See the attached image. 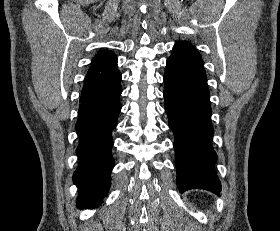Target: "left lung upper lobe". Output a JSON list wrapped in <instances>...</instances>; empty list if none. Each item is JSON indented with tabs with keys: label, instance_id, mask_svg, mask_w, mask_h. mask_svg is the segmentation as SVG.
<instances>
[{
	"label": "left lung upper lobe",
	"instance_id": "obj_1",
	"mask_svg": "<svg viewBox=\"0 0 280 231\" xmlns=\"http://www.w3.org/2000/svg\"><path fill=\"white\" fill-rule=\"evenodd\" d=\"M171 71L177 73H203V60L200 54L188 42H177L173 47V52L167 60V65Z\"/></svg>",
	"mask_w": 280,
	"mask_h": 231
}]
</instances>
